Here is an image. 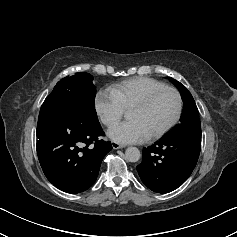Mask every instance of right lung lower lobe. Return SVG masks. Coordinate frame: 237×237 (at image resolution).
Returning <instances> with one entry per match:
<instances>
[{"mask_svg": "<svg viewBox=\"0 0 237 237\" xmlns=\"http://www.w3.org/2000/svg\"><path fill=\"white\" fill-rule=\"evenodd\" d=\"M100 123L85 124L48 108H41L37 124V154L47 179L68 193L87 190L96 180L101 162L111 151L100 139Z\"/></svg>", "mask_w": 237, "mask_h": 237, "instance_id": "98d812e1", "label": "right lung lower lobe"}]
</instances>
